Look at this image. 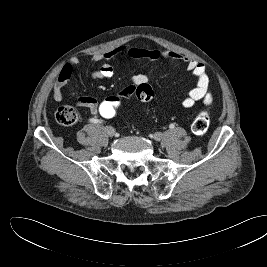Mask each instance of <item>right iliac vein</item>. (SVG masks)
Segmentation results:
<instances>
[{"label":"right iliac vein","instance_id":"1","mask_svg":"<svg viewBox=\"0 0 267 267\" xmlns=\"http://www.w3.org/2000/svg\"><path fill=\"white\" fill-rule=\"evenodd\" d=\"M104 130L109 137H113L115 135V129L111 126H106Z\"/></svg>","mask_w":267,"mask_h":267}]
</instances>
